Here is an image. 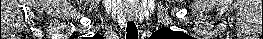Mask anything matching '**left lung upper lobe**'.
Masks as SVG:
<instances>
[{
  "label": "left lung upper lobe",
  "instance_id": "obj_1",
  "mask_svg": "<svg viewBox=\"0 0 263 39\" xmlns=\"http://www.w3.org/2000/svg\"><path fill=\"white\" fill-rule=\"evenodd\" d=\"M153 39H189L191 38L187 34H184L179 31H172L168 28H160L154 32L151 36Z\"/></svg>",
  "mask_w": 263,
  "mask_h": 39
}]
</instances>
